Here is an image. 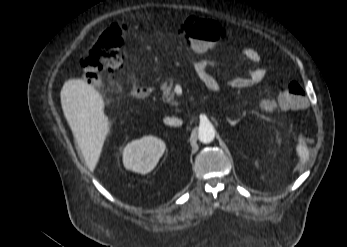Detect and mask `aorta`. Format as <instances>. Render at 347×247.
Masks as SVG:
<instances>
[{"mask_svg":"<svg viewBox=\"0 0 347 247\" xmlns=\"http://www.w3.org/2000/svg\"><path fill=\"white\" fill-rule=\"evenodd\" d=\"M199 140L203 143H210L214 140L215 138V129L214 127L209 124H201L199 128Z\"/></svg>","mask_w":347,"mask_h":247,"instance_id":"762f6f07","label":"aorta"}]
</instances>
